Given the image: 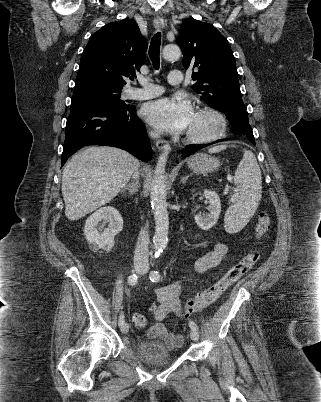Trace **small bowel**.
Returning <instances> with one entry per match:
<instances>
[{"label":"small bowel","instance_id":"obj_1","mask_svg":"<svg viewBox=\"0 0 321 402\" xmlns=\"http://www.w3.org/2000/svg\"><path fill=\"white\" fill-rule=\"evenodd\" d=\"M228 253L227 245L216 243L212 250L198 257L194 263V272L202 274L217 268L225 260ZM183 289V281H177L155 290L156 303L152 304L150 311L157 321L148 332L150 338H159L170 347H176L182 343L179 333L168 330L163 321L171 314L183 315L180 293Z\"/></svg>","mask_w":321,"mask_h":402}]
</instances>
